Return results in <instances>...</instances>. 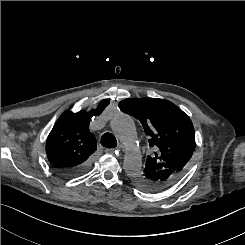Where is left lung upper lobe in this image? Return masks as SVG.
<instances>
[{
    "label": "left lung upper lobe",
    "instance_id": "left-lung-upper-lobe-1",
    "mask_svg": "<svg viewBox=\"0 0 245 245\" xmlns=\"http://www.w3.org/2000/svg\"><path fill=\"white\" fill-rule=\"evenodd\" d=\"M119 108L141 122L154 150L146 159L144 171L134 176V184L152 192L154 176L170 172L180 177L195 148L189 116L172 102L157 98L125 99L119 102Z\"/></svg>",
    "mask_w": 245,
    "mask_h": 245
}]
</instances>
